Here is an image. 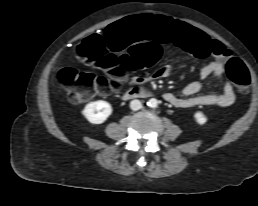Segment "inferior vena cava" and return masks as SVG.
Here are the masks:
<instances>
[{
    "label": "inferior vena cava",
    "instance_id": "inferior-vena-cava-1",
    "mask_svg": "<svg viewBox=\"0 0 258 206\" xmlns=\"http://www.w3.org/2000/svg\"><path fill=\"white\" fill-rule=\"evenodd\" d=\"M130 108H131L132 110H134V111L141 109V108H142V103H141V101H140V100H137V99L132 100V101L130 102Z\"/></svg>",
    "mask_w": 258,
    "mask_h": 206
}]
</instances>
